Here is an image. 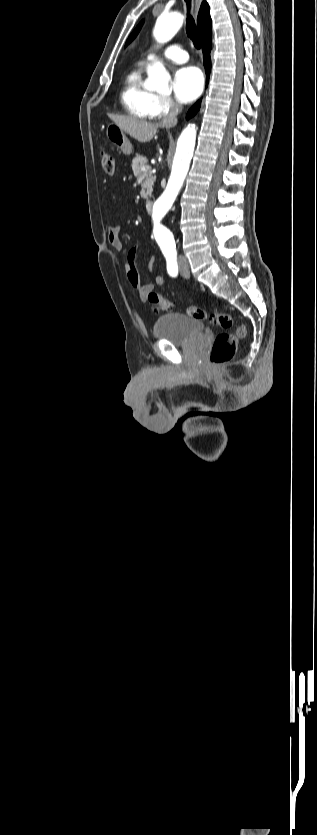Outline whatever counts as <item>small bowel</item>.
<instances>
[{
	"label": "small bowel",
	"mask_w": 317,
	"mask_h": 835,
	"mask_svg": "<svg viewBox=\"0 0 317 835\" xmlns=\"http://www.w3.org/2000/svg\"><path fill=\"white\" fill-rule=\"evenodd\" d=\"M106 240L108 244L113 247L115 250H122L123 245L120 239V227L117 224L110 225L108 228ZM155 267V260H150L148 262V270L152 273ZM126 272L128 280L133 288H135L140 296H145L149 291H151L154 287L151 283H143L140 279L139 273L137 271L136 266V250L131 249L128 253L127 263H126ZM155 284L157 286L164 285V278L161 274L155 275Z\"/></svg>",
	"instance_id": "obj_1"
}]
</instances>
